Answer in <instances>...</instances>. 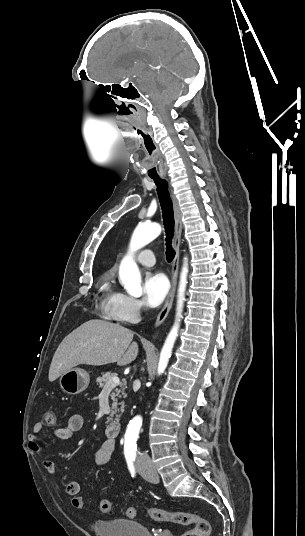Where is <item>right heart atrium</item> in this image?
Listing matches in <instances>:
<instances>
[{
	"mask_svg": "<svg viewBox=\"0 0 305 536\" xmlns=\"http://www.w3.org/2000/svg\"><path fill=\"white\" fill-rule=\"evenodd\" d=\"M143 309V302L124 293L117 292L112 307L108 310V313L119 322L131 323L141 315Z\"/></svg>",
	"mask_w": 305,
	"mask_h": 536,
	"instance_id": "obj_1",
	"label": "right heart atrium"
}]
</instances>
